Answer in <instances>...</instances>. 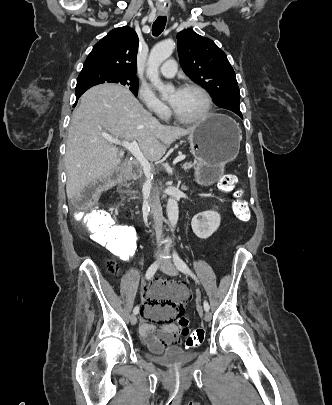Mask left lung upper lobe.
Returning <instances> with one entry per match:
<instances>
[{"instance_id": "1", "label": "left lung upper lobe", "mask_w": 332, "mask_h": 405, "mask_svg": "<svg viewBox=\"0 0 332 405\" xmlns=\"http://www.w3.org/2000/svg\"><path fill=\"white\" fill-rule=\"evenodd\" d=\"M177 39L185 74L204 87L219 107L234 111L240 101V91L226 54L211 39L191 29L179 32Z\"/></svg>"}]
</instances>
